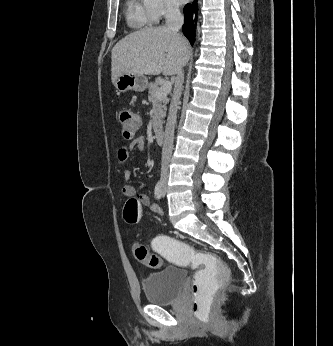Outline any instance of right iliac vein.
I'll return each mask as SVG.
<instances>
[{
    "label": "right iliac vein",
    "instance_id": "63e3f726",
    "mask_svg": "<svg viewBox=\"0 0 333 346\" xmlns=\"http://www.w3.org/2000/svg\"><path fill=\"white\" fill-rule=\"evenodd\" d=\"M166 179H167V176H164V177H163V182H165V181H166Z\"/></svg>",
    "mask_w": 333,
    "mask_h": 346
}]
</instances>
